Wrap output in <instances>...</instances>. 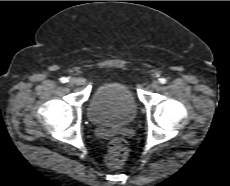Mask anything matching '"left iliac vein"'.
Listing matches in <instances>:
<instances>
[{
	"label": "left iliac vein",
	"instance_id": "4c4485c4",
	"mask_svg": "<svg viewBox=\"0 0 230 186\" xmlns=\"http://www.w3.org/2000/svg\"><path fill=\"white\" fill-rule=\"evenodd\" d=\"M160 83L159 81L157 80H154L152 83H151V88L152 89H157L159 87Z\"/></svg>",
	"mask_w": 230,
	"mask_h": 186
}]
</instances>
